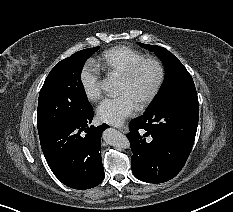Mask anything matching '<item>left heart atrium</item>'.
I'll use <instances>...</instances> for the list:
<instances>
[{"mask_svg": "<svg viewBox=\"0 0 233 212\" xmlns=\"http://www.w3.org/2000/svg\"><path fill=\"white\" fill-rule=\"evenodd\" d=\"M138 105L126 93L105 98L97 107L98 118L106 123L119 125L136 111Z\"/></svg>", "mask_w": 233, "mask_h": 212, "instance_id": "1", "label": "left heart atrium"}]
</instances>
